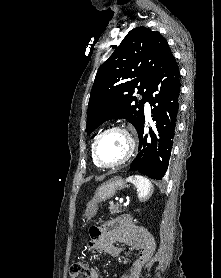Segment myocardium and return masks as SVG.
I'll use <instances>...</instances> for the list:
<instances>
[{
  "label": "myocardium",
  "instance_id": "myocardium-1",
  "mask_svg": "<svg viewBox=\"0 0 221 278\" xmlns=\"http://www.w3.org/2000/svg\"><path fill=\"white\" fill-rule=\"evenodd\" d=\"M109 132L122 133L127 139L128 150H127L125 157L122 160H120L119 162H117L115 164L106 165V164L101 163V161L98 158L97 146H98L100 139ZM135 146H136L135 139H134L133 135L127 129H125L124 127H120V126H112V127L105 129L101 133H99L96 136V138L94 139L93 144H92V157H93L94 162L99 167L104 168V169H116V168L123 166L125 163H127L130 160V158L133 156V153L135 151Z\"/></svg>",
  "mask_w": 221,
  "mask_h": 278
}]
</instances>
